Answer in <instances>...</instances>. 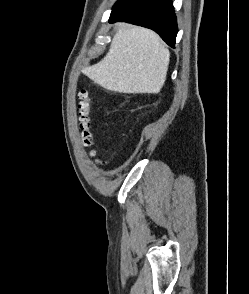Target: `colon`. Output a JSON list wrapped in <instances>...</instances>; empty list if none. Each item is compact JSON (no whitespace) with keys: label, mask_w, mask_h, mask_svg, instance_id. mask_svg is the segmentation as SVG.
Returning <instances> with one entry per match:
<instances>
[{"label":"colon","mask_w":249,"mask_h":294,"mask_svg":"<svg viewBox=\"0 0 249 294\" xmlns=\"http://www.w3.org/2000/svg\"><path fill=\"white\" fill-rule=\"evenodd\" d=\"M78 102V114L80 128L83 133V142L85 145L92 144V135L90 133L91 113H92V101L87 90H81L79 92Z\"/></svg>","instance_id":"obj_1"}]
</instances>
